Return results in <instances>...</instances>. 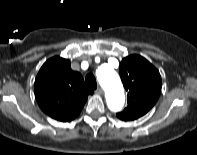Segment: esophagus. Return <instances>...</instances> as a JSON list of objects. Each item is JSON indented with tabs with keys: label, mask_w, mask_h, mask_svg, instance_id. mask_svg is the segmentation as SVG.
I'll list each match as a JSON object with an SVG mask.
<instances>
[{
	"label": "esophagus",
	"mask_w": 197,
	"mask_h": 155,
	"mask_svg": "<svg viewBox=\"0 0 197 155\" xmlns=\"http://www.w3.org/2000/svg\"><path fill=\"white\" fill-rule=\"evenodd\" d=\"M96 92L98 94H103V89L101 87H98L97 90H96Z\"/></svg>",
	"instance_id": "1"
}]
</instances>
